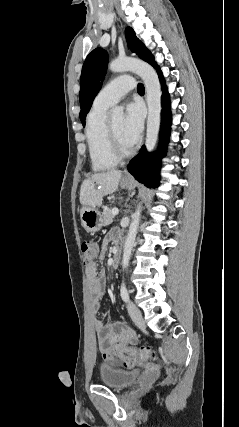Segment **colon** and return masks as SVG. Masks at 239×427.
Returning <instances> with one entry per match:
<instances>
[{"label": "colon", "mask_w": 239, "mask_h": 427, "mask_svg": "<svg viewBox=\"0 0 239 427\" xmlns=\"http://www.w3.org/2000/svg\"><path fill=\"white\" fill-rule=\"evenodd\" d=\"M81 249L84 261L87 264L92 263L97 256V243L92 240L84 241ZM114 352L126 367L147 364L156 358V352L147 346L128 347L117 345L114 347Z\"/></svg>", "instance_id": "1"}]
</instances>
